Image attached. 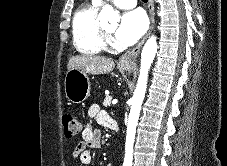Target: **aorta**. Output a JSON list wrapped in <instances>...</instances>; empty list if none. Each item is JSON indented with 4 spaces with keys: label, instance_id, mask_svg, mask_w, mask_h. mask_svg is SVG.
<instances>
[{
    "label": "aorta",
    "instance_id": "aorta-1",
    "mask_svg": "<svg viewBox=\"0 0 227 166\" xmlns=\"http://www.w3.org/2000/svg\"><path fill=\"white\" fill-rule=\"evenodd\" d=\"M119 21V14L111 5H104L100 12V22L116 23ZM157 52V41L155 36H151L145 43L141 53L140 74L134 95L131 100V110L128 120L124 166H131L133 159V144L135 139L136 126L140 115L142 102L145 97L148 72Z\"/></svg>",
    "mask_w": 227,
    "mask_h": 166
}]
</instances>
